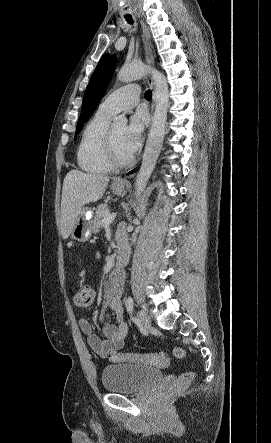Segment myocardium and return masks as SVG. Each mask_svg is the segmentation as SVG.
<instances>
[{
	"label": "myocardium",
	"mask_w": 271,
	"mask_h": 443,
	"mask_svg": "<svg viewBox=\"0 0 271 443\" xmlns=\"http://www.w3.org/2000/svg\"><path fill=\"white\" fill-rule=\"evenodd\" d=\"M107 149H108L110 161L112 162V164L114 166L125 167V166L129 165L133 160V158L131 156L124 158L119 154L116 144H115L112 130H109V133H108Z\"/></svg>",
	"instance_id": "myocardium-1"
}]
</instances>
